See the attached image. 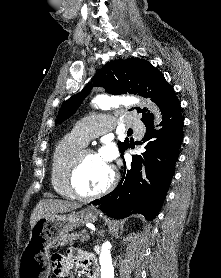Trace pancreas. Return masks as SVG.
Masks as SVG:
<instances>
[{"instance_id":"obj_1","label":"pancreas","mask_w":221,"mask_h":278,"mask_svg":"<svg viewBox=\"0 0 221 278\" xmlns=\"http://www.w3.org/2000/svg\"><path fill=\"white\" fill-rule=\"evenodd\" d=\"M87 236H89L86 231H82L81 233H72L65 235L61 238L59 245L64 246L67 244L72 245L75 240L80 239L81 241L87 240Z\"/></svg>"}]
</instances>
